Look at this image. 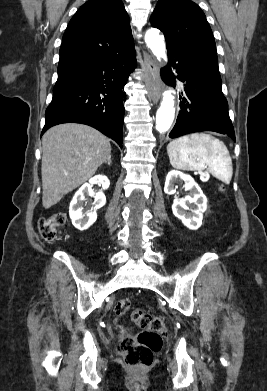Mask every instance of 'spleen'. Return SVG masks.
Wrapping results in <instances>:
<instances>
[{
  "label": "spleen",
  "mask_w": 267,
  "mask_h": 391,
  "mask_svg": "<svg viewBox=\"0 0 267 391\" xmlns=\"http://www.w3.org/2000/svg\"><path fill=\"white\" fill-rule=\"evenodd\" d=\"M167 153L176 169H207L223 183L231 181L233 167L229 151L222 141L210 134L193 133L177 138L168 144Z\"/></svg>",
  "instance_id": "obj_1"
}]
</instances>
